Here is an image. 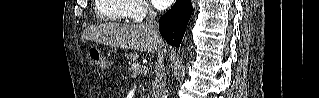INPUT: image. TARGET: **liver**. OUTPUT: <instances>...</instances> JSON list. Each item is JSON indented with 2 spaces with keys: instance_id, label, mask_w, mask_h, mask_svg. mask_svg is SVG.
<instances>
[{
  "instance_id": "1",
  "label": "liver",
  "mask_w": 319,
  "mask_h": 98,
  "mask_svg": "<svg viewBox=\"0 0 319 98\" xmlns=\"http://www.w3.org/2000/svg\"><path fill=\"white\" fill-rule=\"evenodd\" d=\"M82 36L86 40L140 52L155 53L160 47H165L164 42L160 45L155 41L143 24H98L89 26Z\"/></svg>"
}]
</instances>
